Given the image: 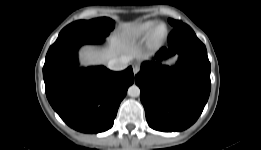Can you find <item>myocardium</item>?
<instances>
[{"instance_id": "f54148a6", "label": "myocardium", "mask_w": 261, "mask_h": 150, "mask_svg": "<svg viewBox=\"0 0 261 150\" xmlns=\"http://www.w3.org/2000/svg\"><path fill=\"white\" fill-rule=\"evenodd\" d=\"M163 28V33L159 34V29ZM168 35V27L164 23H157L150 32L149 40L152 44L162 43Z\"/></svg>"}]
</instances>
